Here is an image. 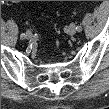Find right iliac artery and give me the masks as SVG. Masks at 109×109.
Here are the masks:
<instances>
[{"label": "right iliac artery", "mask_w": 109, "mask_h": 109, "mask_svg": "<svg viewBox=\"0 0 109 109\" xmlns=\"http://www.w3.org/2000/svg\"><path fill=\"white\" fill-rule=\"evenodd\" d=\"M20 38H21V39H24V38H25V34H21V35H20Z\"/></svg>", "instance_id": "right-iliac-artery-1"}]
</instances>
